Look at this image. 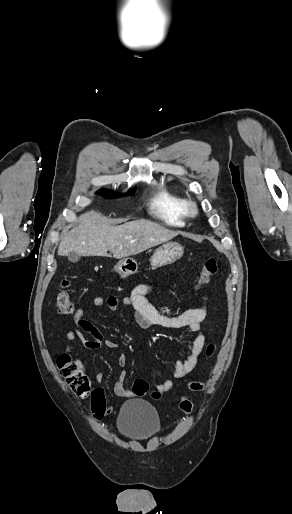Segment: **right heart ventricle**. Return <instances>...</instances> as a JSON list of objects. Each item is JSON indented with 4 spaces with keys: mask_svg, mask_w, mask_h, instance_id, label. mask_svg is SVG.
Here are the masks:
<instances>
[{
    "mask_svg": "<svg viewBox=\"0 0 292 514\" xmlns=\"http://www.w3.org/2000/svg\"><path fill=\"white\" fill-rule=\"evenodd\" d=\"M186 197L167 185L154 187L150 191L148 207L152 215L170 226H183L187 220Z\"/></svg>",
    "mask_w": 292,
    "mask_h": 514,
    "instance_id": "right-heart-ventricle-1",
    "label": "right heart ventricle"
}]
</instances>
